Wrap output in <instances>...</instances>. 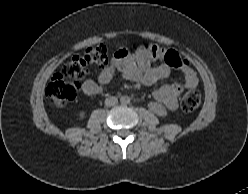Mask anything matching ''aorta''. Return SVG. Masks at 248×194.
<instances>
[{
  "label": "aorta",
  "instance_id": "aorta-1",
  "mask_svg": "<svg viewBox=\"0 0 248 194\" xmlns=\"http://www.w3.org/2000/svg\"><path fill=\"white\" fill-rule=\"evenodd\" d=\"M120 102H121L122 105H128L130 103V97L122 96L120 98Z\"/></svg>",
  "mask_w": 248,
  "mask_h": 194
}]
</instances>
